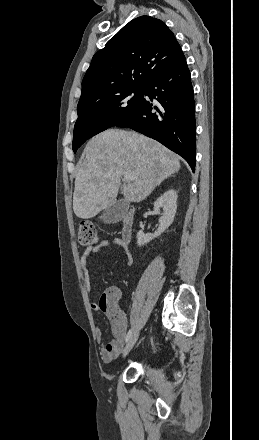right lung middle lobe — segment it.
Instances as JSON below:
<instances>
[{
    "label": "right lung middle lobe",
    "instance_id": "right-lung-middle-lobe-1",
    "mask_svg": "<svg viewBox=\"0 0 259 440\" xmlns=\"http://www.w3.org/2000/svg\"><path fill=\"white\" fill-rule=\"evenodd\" d=\"M147 88H131L115 92L77 109L72 148L77 149L89 138L116 126L132 115L144 99Z\"/></svg>",
    "mask_w": 259,
    "mask_h": 440
}]
</instances>
